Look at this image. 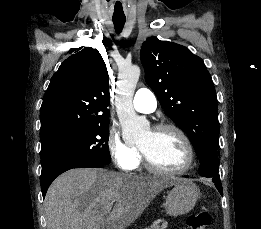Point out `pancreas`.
Returning a JSON list of instances; mask_svg holds the SVG:
<instances>
[{
    "instance_id": "1",
    "label": "pancreas",
    "mask_w": 261,
    "mask_h": 229,
    "mask_svg": "<svg viewBox=\"0 0 261 229\" xmlns=\"http://www.w3.org/2000/svg\"><path fill=\"white\" fill-rule=\"evenodd\" d=\"M152 229H161V227H159V225H154V227H152Z\"/></svg>"
}]
</instances>
